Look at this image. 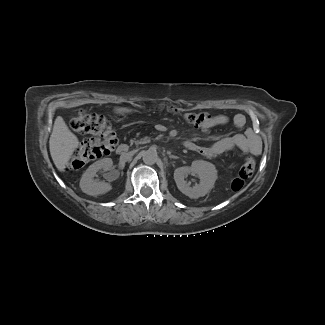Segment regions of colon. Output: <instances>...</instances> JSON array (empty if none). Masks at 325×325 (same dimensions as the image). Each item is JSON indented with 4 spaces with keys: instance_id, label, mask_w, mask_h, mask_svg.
<instances>
[{
    "instance_id": "5ec220e1",
    "label": "colon",
    "mask_w": 325,
    "mask_h": 325,
    "mask_svg": "<svg viewBox=\"0 0 325 325\" xmlns=\"http://www.w3.org/2000/svg\"><path fill=\"white\" fill-rule=\"evenodd\" d=\"M172 111H175L172 109ZM207 113H186L184 120L191 126L200 127L211 119ZM74 131L87 135L70 159L71 168H80L88 162L109 155L116 147L118 139L111 123L102 115L81 111L71 118ZM256 162L247 156L242 162L237 176L231 183L234 191L241 190L255 170Z\"/></svg>"
}]
</instances>
